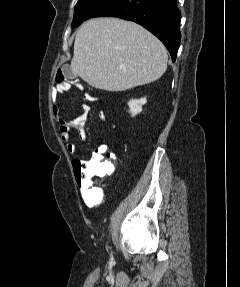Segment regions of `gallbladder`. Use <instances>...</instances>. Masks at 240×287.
Instances as JSON below:
<instances>
[{
    "instance_id": "bac80fb5",
    "label": "gallbladder",
    "mask_w": 240,
    "mask_h": 287,
    "mask_svg": "<svg viewBox=\"0 0 240 287\" xmlns=\"http://www.w3.org/2000/svg\"><path fill=\"white\" fill-rule=\"evenodd\" d=\"M64 73L68 79H75L77 77V75L74 74L69 67H65Z\"/></svg>"
}]
</instances>
